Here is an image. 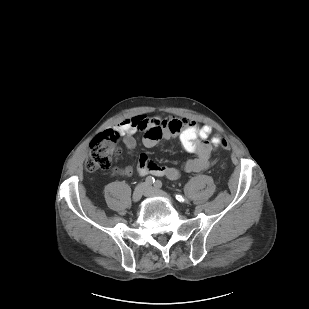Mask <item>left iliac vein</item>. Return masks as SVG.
<instances>
[{
    "instance_id": "1",
    "label": "left iliac vein",
    "mask_w": 309,
    "mask_h": 309,
    "mask_svg": "<svg viewBox=\"0 0 309 309\" xmlns=\"http://www.w3.org/2000/svg\"><path fill=\"white\" fill-rule=\"evenodd\" d=\"M147 187H148V193L146 194V196L158 195V196L165 197V198H167L168 200L171 201V197L167 193H165L164 191L155 189V188L148 186V185H147Z\"/></svg>"
}]
</instances>
